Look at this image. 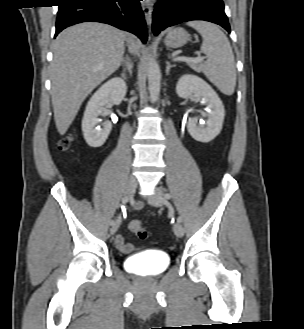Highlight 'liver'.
I'll return each instance as SVG.
<instances>
[{
  "label": "liver",
  "instance_id": "obj_1",
  "mask_svg": "<svg viewBox=\"0 0 304 329\" xmlns=\"http://www.w3.org/2000/svg\"><path fill=\"white\" fill-rule=\"evenodd\" d=\"M138 54L140 42L110 25L85 22L63 30L53 43L51 97L56 128L64 135L91 91L120 66L125 46Z\"/></svg>",
  "mask_w": 304,
  "mask_h": 329
}]
</instances>
